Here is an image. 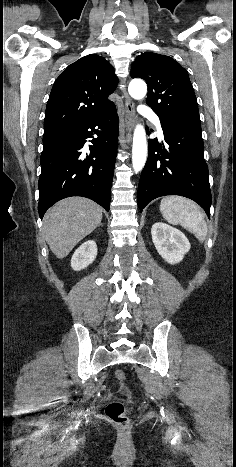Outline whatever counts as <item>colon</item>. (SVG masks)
Wrapping results in <instances>:
<instances>
[{
	"label": "colon",
	"instance_id": "colon-1",
	"mask_svg": "<svg viewBox=\"0 0 236 467\" xmlns=\"http://www.w3.org/2000/svg\"><path fill=\"white\" fill-rule=\"evenodd\" d=\"M115 376L121 385L124 386V382L126 380L125 373L118 369L115 371ZM105 415L110 421L124 429H127L130 425L129 419L126 415V406L121 401L109 403L105 408Z\"/></svg>",
	"mask_w": 236,
	"mask_h": 467
}]
</instances>
